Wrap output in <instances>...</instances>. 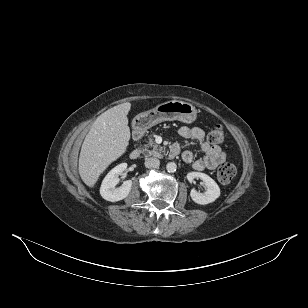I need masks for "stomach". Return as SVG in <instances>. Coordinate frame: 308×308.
Here are the masks:
<instances>
[{
	"label": "stomach",
	"mask_w": 308,
	"mask_h": 308,
	"mask_svg": "<svg viewBox=\"0 0 308 308\" xmlns=\"http://www.w3.org/2000/svg\"><path fill=\"white\" fill-rule=\"evenodd\" d=\"M196 117L197 110L191 103L171 100L138 114L133 120V126L138 131H145L163 121L178 120L192 123Z\"/></svg>",
	"instance_id": "0dacf381"
}]
</instances>
